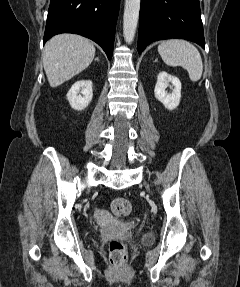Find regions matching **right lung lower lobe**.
Masks as SVG:
<instances>
[{"label": "right lung lower lobe", "mask_w": 240, "mask_h": 287, "mask_svg": "<svg viewBox=\"0 0 240 287\" xmlns=\"http://www.w3.org/2000/svg\"><path fill=\"white\" fill-rule=\"evenodd\" d=\"M120 0H51L44 43L59 33H76L98 43L112 58Z\"/></svg>", "instance_id": "obj_1"}]
</instances>
